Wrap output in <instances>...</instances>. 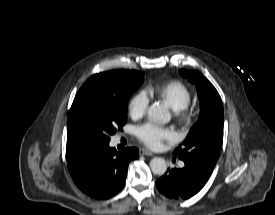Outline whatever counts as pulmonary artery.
Instances as JSON below:
<instances>
[{
    "instance_id": "e3ab8cb5",
    "label": "pulmonary artery",
    "mask_w": 275,
    "mask_h": 215,
    "mask_svg": "<svg viewBox=\"0 0 275 215\" xmlns=\"http://www.w3.org/2000/svg\"><path fill=\"white\" fill-rule=\"evenodd\" d=\"M183 165H184L183 162H180V163H179V166H180V167H182Z\"/></svg>"
}]
</instances>
